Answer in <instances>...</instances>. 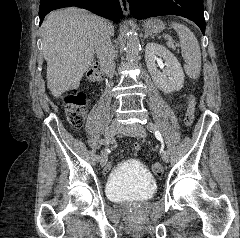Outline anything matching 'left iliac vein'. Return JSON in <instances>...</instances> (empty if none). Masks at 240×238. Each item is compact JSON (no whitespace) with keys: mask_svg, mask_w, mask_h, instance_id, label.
<instances>
[{"mask_svg":"<svg viewBox=\"0 0 240 238\" xmlns=\"http://www.w3.org/2000/svg\"><path fill=\"white\" fill-rule=\"evenodd\" d=\"M121 132L125 135L134 136L138 138H144L146 136V129L142 125L135 123L122 128ZM162 160L166 163L169 162V156L162 155Z\"/></svg>","mask_w":240,"mask_h":238,"instance_id":"1","label":"left iliac vein"}]
</instances>
